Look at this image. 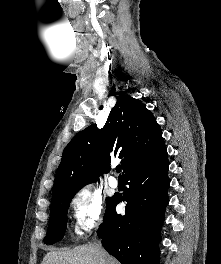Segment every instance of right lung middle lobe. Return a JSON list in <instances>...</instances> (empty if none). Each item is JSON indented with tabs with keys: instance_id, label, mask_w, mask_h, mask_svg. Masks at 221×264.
Instances as JSON below:
<instances>
[{
	"instance_id": "obj_1",
	"label": "right lung middle lobe",
	"mask_w": 221,
	"mask_h": 264,
	"mask_svg": "<svg viewBox=\"0 0 221 264\" xmlns=\"http://www.w3.org/2000/svg\"><path fill=\"white\" fill-rule=\"evenodd\" d=\"M76 193L63 195L51 202L49 230L44 238L46 244H52L62 239L67 225L69 204ZM113 201V197L106 199V210Z\"/></svg>"
}]
</instances>
